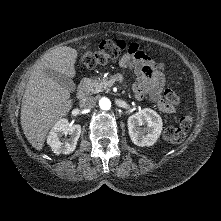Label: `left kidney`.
Instances as JSON below:
<instances>
[{
  "label": "left kidney",
  "instance_id": "left-kidney-1",
  "mask_svg": "<svg viewBox=\"0 0 221 221\" xmlns=\"http://www.w3.org/2000/svg\"><path fill=\"white\" fill-rule=\"evenodd\" d=\"M142 125L146 127L141 128ZM129 136L138 146H152L160 137L162 119L157 112L145 108L128 118Z\"/></svg>",
  "mask_w": 221,
  "mask_h": 221
}]
</instances>
